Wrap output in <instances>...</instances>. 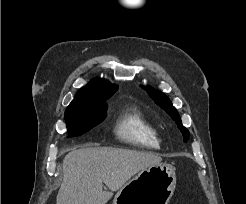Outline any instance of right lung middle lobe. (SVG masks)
Returning <instances> with one entry per match:
<instances>
[{
  "instance_id": "right-lung-middle-lobe-1",
  "label": "right lung middle lobe",
  "mask_w": 246,
  "mask_h": 204,
  "mask_svg": "<svg viewBox=\"0 0 246 204\" xmlns=\"http://www.w3.org/2000/svg\"><path fill=\"white\" fill-rule=\"evenodd\" d=\"M110 97L93 98L82 105L68 106L65 121L69 135L79 136L101 123L107 116L106 100Z\"/></svg>"
}]
</instances>
